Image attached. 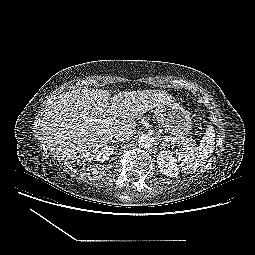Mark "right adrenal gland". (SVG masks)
<instances>
[{"label": "right adrenal gland", "instance_id": "2a0ac1e0", "mask_svg": "<svg viewBox=\"0 0 255 255\" xmlns=\"http://www.w3.org/2000/svg\"><path fill=\"white\" fill-rule=\"evenodd\" d=\"M112 144H117V147L118 145H120L121 141H118V140H111Z\"/></svg>", "mask_w": 255, "mask_h": 255}]
</instances>
